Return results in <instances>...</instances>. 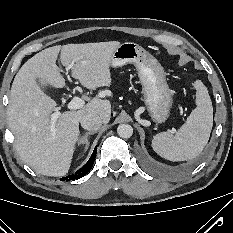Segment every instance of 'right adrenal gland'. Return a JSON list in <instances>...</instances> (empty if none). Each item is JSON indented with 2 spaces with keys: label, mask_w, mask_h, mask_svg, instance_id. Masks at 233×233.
Listing matches in <instances>:
<instances>
[{
  "label": "right adrenal gland",
  "mask_w": 233,
  "mask_h": 233,
  "mask_svg": "<svg viewBox=\"0 0 233 233\" xmlns=\"http://www.w3.org/2000/svg\"><path fill=\"white\" fill-rule=\"evenodd\" d=\"M95 132H86L83 136H81L78 139V145H80L81 143L85 144L84 147V152L87 150L88 146H89V140H88V136L89 135H93Z\"/></svg>",
  "instance_id": "obj_1"
}]
</instances>
